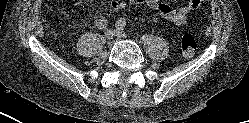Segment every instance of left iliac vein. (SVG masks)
<instances>
[{
  "label": "left iliac vein",
  "instance_id": "1",
  "mask_svg": "<svg viewBox=\"0 0 249 123\" xmlns=\"http://www.w3.org/2000/svg\"><path fill=\"white\" fill-rule=\"evenodd\" d=\"M114 34L118 38H126L127 37L126 34L119 29L114 30Z\"/></svg>",
  "mask_w": 249,
  "mask_h": 123
}]
</instances>
